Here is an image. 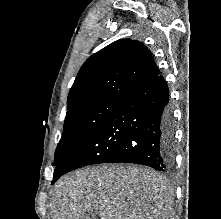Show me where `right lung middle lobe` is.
Instances as JSON below:
<instances>
[{
  "mask_svg": "<svg viewBox=\"0 0 221 219\" xmlns=\"http://www.w3.org/2000/svg\"><path fill=\"white\" fill-rule=\"evenodd\" d=\"M121 99L102 98L80 103L66 114L64 132L55 151L54 165L84 144L103 124Z\"/></svg>",
  "mask_w": 221,
  "mask_h": 219,
  "instance_id": "right-lung-middle-lobe-1",
  "label": "right lung middle lobe"
}]
</instances>
